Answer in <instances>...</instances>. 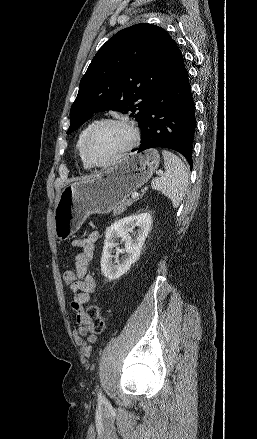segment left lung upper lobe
Instances as JSON below:
<instances>
[{"mask_svg": "<svg viewBox=\"0 0 257 439\" xmlns=\"http://www.w3.org/2000/svg\"><path fill=\"white\" fill-rule=\"evenodd\" d=\"M179 50L162 28L141 23L123 29L96 53L70 110V134L92 114L131 112L141 125L151 99Z\"/></svg>", "mask_w": 257, "mask_h": 439, "instance_id": "5c2ea615", "label": "left lung upper lobe"}]
</instances>
